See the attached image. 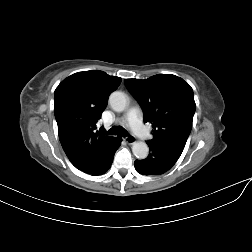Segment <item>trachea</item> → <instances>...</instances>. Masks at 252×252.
I'll use <instances>...</instances> for the list:
<instances>
[{
  "instance_id": "3493384b",
  "label": "trachea",
  "mask_w": 252,
  "mask_h": 252,
  "mask_svg": "<svg viewBox=\"0 0 252 252\" xmlns=\"http://www.w3.org/2000/svg\"><path fill=\"white\" fill-rule=\"evenodd\" d=\"M107 135H118L121 137L127 136V131L123 127L113 126L108 132Z\"/></svg>"
}]
</instances>
